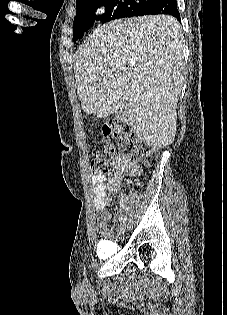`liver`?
<instances>
[{"instance_id":"liver-1","label":"liver","mask_w":227,"mask_h":315,"mask_svg":"<svg viewBox=\"0 0 227 315\" xmlns=\"http://www.w3.org/2000/svg\"><path fill=\"white\" fill-rule=\"evenodd\" d=\"M183 48L181 26L168 15L97 27L74 64L83 111L102 118L124 109L138 138L157 148L171 144L184 83Z\"/></svg>"}]
</instances>
